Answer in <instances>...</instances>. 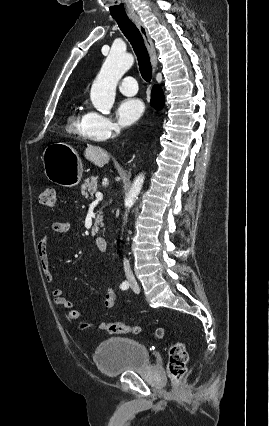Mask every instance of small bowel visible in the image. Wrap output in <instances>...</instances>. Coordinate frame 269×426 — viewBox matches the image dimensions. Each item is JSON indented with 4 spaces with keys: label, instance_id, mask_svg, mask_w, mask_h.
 <instances>
[{
    "label": "small bowel",
    "instance_id": "c3829d8e",
    "mask_svg": "<svg viewBox=\"0 0 269 426\" xmlns=\"http://www.w3.org/2000/svg\"><path fill=\"white\" fill-rule=\"evenodd\" d=\"M51 233L43 236L37 244V254L39 258L40 266L43 270L44 276L46 280L50 283L54 282V275L50 270V259L48 255V244L55 234H65L69 231V224L63 221H56L52 224ZM52 296L54 298V302L57 306L70 309L72 308V302L67 299L63 291L60 288H54L52 290ZM116 301V293L113 287L110 284H107L106 290L103 296L102 304L106 309H111L115 306ZM70 318L72 319L71 315Z\"/></svg>",
    "mask_w": 269,
    "mask_h": 426
}]
</instances>
